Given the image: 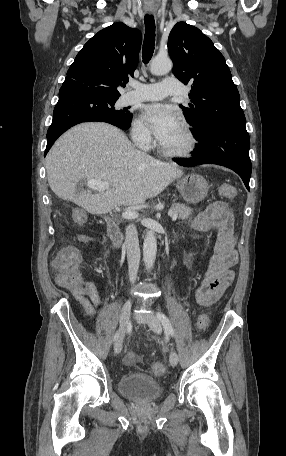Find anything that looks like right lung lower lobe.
<instances>
[{
	"instance_id": "1",
	"label": "right lung lower lobe",
	"mask_w": 286,
	"mask_h": 456,
	"mask_svg": "<svg viewBox=\"0 0 286 456\" xmlns=\"http://www.w3.org/2000/svg\"><path fill=\"white\" fill-rule=\"evenodd\" d=\"M104 100L96 93L80 86H62L59 91V100L53 112L52 124L47 132V146L45 155L55 140L70 127L90 121L107 122L99 117L98 109ZM110 123V122H107ZM121 129L129 126H119Z\"/></svg>"
}]
</instances>
